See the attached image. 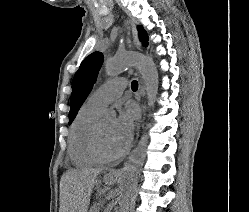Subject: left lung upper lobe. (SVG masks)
Listing matches in <instances>:
<instances>
[{"label": "left lung upper lobe", "instance_id": "left-lung-upper-lobe-1", "mask_svg": "<svg viewBox=\"0 0 249 212\" xmlns=\"http://www.w3.org/2000/svg\"><path fill=\"white\" fill-rule=\"evenodd\" d=\"M138 30L141 32L139 33L140 41L143 42L144 46H147L148 36L145 30H143L142 26H138ZM102 63L103 54L101 52H94L82 61L78 71L76 72L70 99L69 124L72 123L79 108L89 95L93 84L96 82Z\"/></svg>", "mask_w": 249, "mask_h": 212}]
</instances>
